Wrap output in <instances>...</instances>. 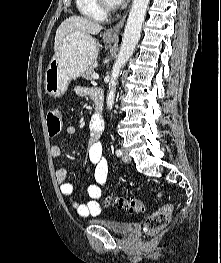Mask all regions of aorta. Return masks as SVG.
Returning <instances> with one entry per match:
<instances>
[{
    "label": "aorta",
    "instance_id": "762f6f07",
    "mask_svg": "<svg viewBox=\"0 0 221 263\" xmlns=\"http://www.w3.org/2000/svg\"><path fill=\"white\" fill-rule=\"evenodd\" d=\"M150 0H133L132 7L124 29L123 39L116 62L113 65L109 92L107 95V108L112 110L115 99L117 79L120 69L132 56L141 36V29L145 19Z\"/></svg>",
    "mask_w": 221,
    "mask_h": 263
}]
</instances>
